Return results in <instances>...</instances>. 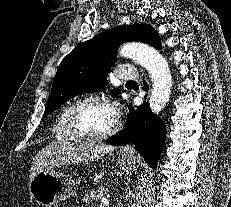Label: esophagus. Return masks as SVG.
<instances>
[{"label":"esophagus","mask_w":231,"mask_h":207,"mask_svg":"<svg viewBox=\"0 0 231 207\" xmlns=\"http://www.w3.org/2000/svg\"><path fill=\"white\" fill-rule=\"evenodd\" d=\"M124 151L130 152V151H133V148H132V147H129V146H126V147L124 148Z\"/></svg>","instance_id":"1"}]
</instances>
